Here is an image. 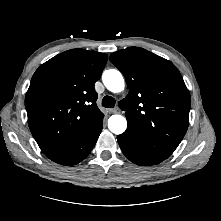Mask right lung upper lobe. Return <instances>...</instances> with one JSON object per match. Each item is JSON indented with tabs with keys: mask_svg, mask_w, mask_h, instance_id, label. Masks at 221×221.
I'll return each mask as SVG.
<instances>
[{
	"mask_svg": "<svg viewBox=\"0 0 221 221\" xmlns=\"http://www.w3.org/2000/svg\"><path fill=\"white\" fill-rule=\"evenodd\" d=\"M107 59L104 53L72 49L36 70L25 107L30 131L43 153L71 144L103 115L94 84Z\"/></svg>",
	"mask_w": 221,
	"mask_h": 221,
	"instance_id": "1",
	"label": "right lung upper lobe"
}]
</instances>
